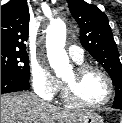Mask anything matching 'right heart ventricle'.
<instances>
[{
  "label": "right heart ventricle",
  "instance_id": "e07e8e85",
  "mask_svg": "<svg viewBox=\"0 0 122 123\" xmlns=\"http://www.w3.org/2000/svg\"><path fill=\"white\" fill-rule=\"evenodd\" d=\"M77 64H82L83 63V60L82 61H78V62H76Z\"/></svg>",
  "mask_w": 122,
  "mask_h": 123
}]
</instances>
